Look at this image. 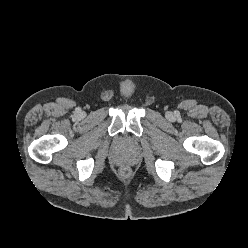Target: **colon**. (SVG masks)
<instances>
[{
	"mask_svg": "<svg viewBox=\"0 0 248 248\" xmlns=\"http://www.w3.org/2000/svg\"><path fill=\"white\" fill-rule=\"evenodd\" d=\"M119 173H120L121 177L126 178V177H128L130 175V170L127 167H122L120 169V172Z\"/></svg>",
	"mask_w": 248,
	"mask_h": 248,
	"instance_id": "1",
	"label": "colon"
}]
</instances>
